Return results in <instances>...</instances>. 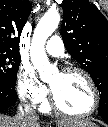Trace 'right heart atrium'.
Returning a JSON list of instances; mask_svg holds the SVG:
<instances>
[{"label": "right heart atrium", "mask_w": 108, "mask_h": 127, "mask_svg": "<svg viewBox=\"0 0 108 127\" xmlns=\"http://www.w3.org/2000/svg\"><path fill=\"white\" fill-rule=\"evenodd\" d=\"M16 89L20 98L30 104L37 105L45 101L47 88L38 80L33 69L23 65L16 77Z\"/></svg>", "instance_id": "obj_1"}]
</instances>
